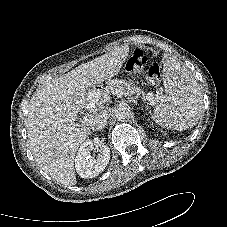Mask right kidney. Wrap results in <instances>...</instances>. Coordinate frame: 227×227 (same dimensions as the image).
<instances>
[{"instance_id":"ca27d5eb","label":"right kidney","mask_w":227,"mask_h":227,"mask_svg":"<svg viewBox=\"0 0 227 227\" xmlns=\"http://www.w3.org/2000/svg\"><path fill=\"white\" fill-rule=\"evenodd\" d=\"M94 149L93 142L87 140L78 149L75 157V168L82 178H93L98 176L109 163L110 149L107 145H102L96 158L90 156Z\"/></svg>"}]
</instances>
